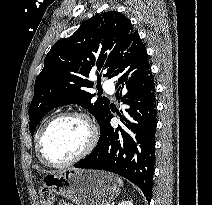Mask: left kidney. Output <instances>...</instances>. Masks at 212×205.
<instances>
[{"instance_id":"1","label":"left kidney","mask_w":212,"mask_h":205,"mask_svg":"<svg viewBox=\"0 0 212 205\" xmlns=\"http://www.w3.org/2000/svg\"><path fill=\"white\" fill-rule=\"evenodd\" d=\"M118 205H133V203L131 201L127 200V201H122Z\"/></svg>"}]
</instances>
